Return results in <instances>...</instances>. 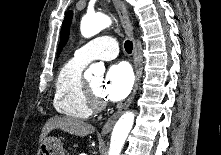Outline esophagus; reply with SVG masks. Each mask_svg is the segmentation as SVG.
<instances>
[{
  "label": "esophagus",
  "mask_w": 221,
  "mask_h": 155,
  "mask_svg": "<svg viewBox=\"0 0 221 155\" xmlns=\"http://www.w3.org/2000/svg\"><path fill=\"white\" fill-rule=\"evenodd\" d=\"M114 7L119 15L121 24L126 32V34L131 38L133 41L134 47H133V59H134V70H135V83L133 90L129 96V98L126 100V102L119 107V109L109 117V119L106 121L104 124L101 134L102 135H107L110 133L112 130L116 120L119 118V116L123 113V111L130 105L131 101L133 100L138 84H139V79H140V70H139V61H138V49H137V44L134 38V31H133V26L130 22L129 19V14L128 10L126 8L125 2L123 0H112Z\"/></svg>",
  "instance_id": "obj_1"
}]
</instances>
